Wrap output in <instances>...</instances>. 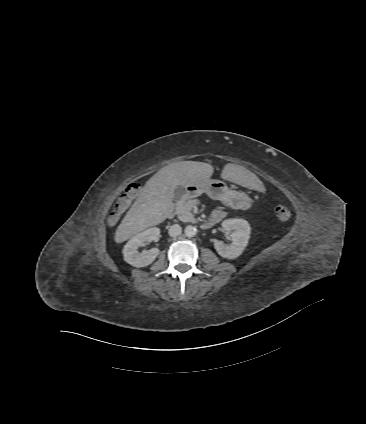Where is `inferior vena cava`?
Wrapping results in <instances>:
<instances>
[{
	"label": "inferior vena cava",
	"mask_w": 366,
	"mask_h": 424,
	"mask_svg": "<svg viewBox=\"0 0 366 424\" xmlns=\"http://www.w3.org/2000/svg\"><path fill=\"white\" fill-rule=\"evenodd\" d=\"M181 232H182V228L178 224H174V225L170 226L169 231H168V233L171 237H177L181 234Z\"/></svg>",
	"instance_id": "obj_1"
}]
</instances>
